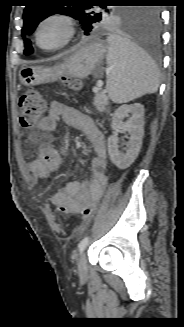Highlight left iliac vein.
I'll return each mask as SVG.
<instances>
[{
	"instance_id": "4c4485c4",
	"label": "left iliac vein",
	"mask_w": 184,
	"mask_h": 327,
	"mask_svg": "<svg viewBox=\"0 0 184 327\" xmlns=\"http://www.w3.org/2000/svg\"><path fill=\"white\" fill-rule=\"evenodd\" d=\"M78 272L80 277H86L88 274L87 260L84 253L78 259Z\"/></svg>"
}]
</instances>
